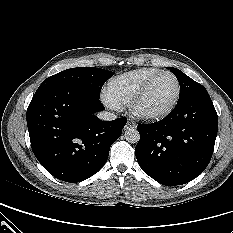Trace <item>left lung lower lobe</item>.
Wrapping results in <instances>:
<instances>
[{
  "label": "left lung lower lobe",
  "instance_id": "obj_1",
  "mask_svg": "<svg viewBox=\"0 0 233 233\" xmlns=\"http://www.w3.org/2000/svg\"><path fill=\"white\" fill-rule=\"evenodd\" d=\"M135 148L142 170L157 182L175 186L199 176L213 154L218 116L207 91L178 101L159 122L140 124Z\"/></svg>",
  "mask_w": 233,
  "mask_h": 233
}]
</instances>
